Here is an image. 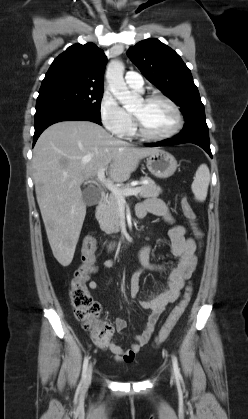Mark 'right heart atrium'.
Instances as JSON below:
<instances>
[{
    "mask_svg": "<svg viewBox=\"0 0 248 419\" xmlns=\"http://www.w3.org/2000/svg\"><path fill=\"white\" fill-rule=\"evenodd\" d=\"M99 115L104 127L117 137H124L132 123L131 115L123 109L115 97L105 92L100 100Z\"/></svg>",
    "mask_w": 248,
    "mask_h": 419,
    "instance_id": "1",
    "label": "right heart atrium"
}]
</instances>
